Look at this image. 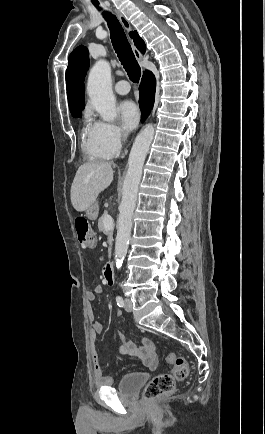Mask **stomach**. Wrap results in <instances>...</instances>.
Masks as SVG:
<instances>
[{
	"instance_id": "obj_1",
	"label": "stomach",
	"mask_w": 265,
	"mask_h": 434,
	"mask_svg": "<svg viewBox=\"0 0 265 434\" xmlns=\"http://www.w3.org/2000/svg\"><path fill=\"white\" fill-rule=\"evenodd\" d=\"M99 212L98 202H93L92 206L86 210V216L89 220H96Z\"/></svg>"
}]
</instances>
